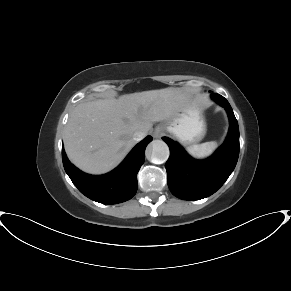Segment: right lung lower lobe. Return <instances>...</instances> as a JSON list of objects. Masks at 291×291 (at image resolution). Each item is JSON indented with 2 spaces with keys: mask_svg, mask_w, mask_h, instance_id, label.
Here are the masks:
<instances>
[{
  "mask_svg": "<svg viewBox=\"0 0 291 291\" xmlns=\"http://www.w3.org/2000/svg\"><path fill=\"white\" fill-rule=\"evenodd\" d=\"M151 136L138 143L124 161L104 175H89L71 164L62 147L64 169L73 184L86 197L103 204H117L131 199L137 191V173L144 163L145 149Z\"/></svg>",
  "mask_w": 291,
  "mask_h": 291,
  "instance_id": "1",
  "label": "right lung lower lobe"
}]
</instances>
